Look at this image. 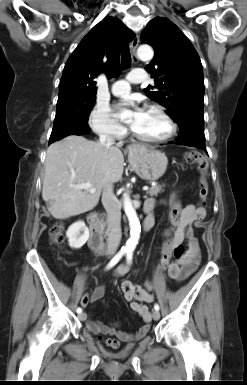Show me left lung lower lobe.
Listing matches in <instances>:
<instances>
[{
  "instance_id": "0a47b994",
  "label": "left lung lower lobe",
  "mask_w": 247,
  "mask_h": 385,
  "mask_svg": "<svg viewBox=\"0 0 247 385\" xmlns=\"http://www.w3.org/2000/svg\"><path fill=\"white\" fill-rule=\"evenodd\" d=\"M179 127L180 134L176 139L179 144L205 150L203 119H187Z\"/></svg>"
}]
</instances>
